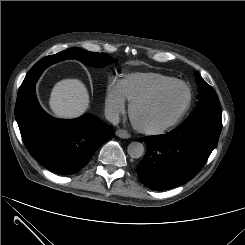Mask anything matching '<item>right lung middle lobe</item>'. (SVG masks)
<instances>
[{
  "instance_id": "dd1d6c3e",
  "label": "right lung middle lobe",
  "mask_w": 245,
  "mask_h": 245,
  "mask_svg": "<svg viewBox=\"0 0 245 245\" xmlns=\"http://www.w3.org/2000/svg\"><path fill=\"white\" fill-rule=\"evenodd\" d=\"M51 57H54L57 62L66 59H78L80 61H83L87 64L94 65V66H104L114 61L113 58H111L107 54L89 52L86 50H82L80 48H72L67 51H62L55 55H51ZM34 67L35 69H38L37 64H35L33 68ZM27 92H28V84L25 81H23L18 92V97L25 95Z\"/></svg>"
}]
</instances>
